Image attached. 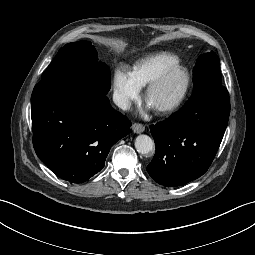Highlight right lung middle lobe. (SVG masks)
Wrapping results in <instances>:
<instances>
[{
	"label": "right lung middle lobe",
	"mask_w": 255,
	"mask_h": 255,
	"mask_svg": "<svg viewBox=\"0 0 255 255\" xmlns=\"http://www.w3.org/2000/svg\"><path fill=\"white\" fill-rule=\"evenodd\" d=\"M45 79L79 81L102 94H107L111 74L108 66L98 62L94 46L88 41H79L60 48L42 75V80Z\"/></svg>",
	"instance_id": "obj_1"
}]
</instances>
